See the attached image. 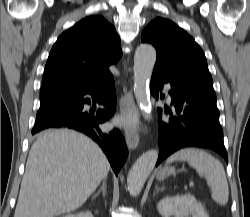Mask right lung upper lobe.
<instances>
[{
    "mask_svg": "<svg viewBox=\"0 0 250 217\" xmlns=\"http://www.w3.org/2000/svg\"><path fill=\"white\" fill-rule=\"evenodd\" d=\"M115 28L102 16H89L54 44L44 70L40 106L92 89L112 77L108 67L121 57Z\"/></svg>",
    "mask_w": 250,
    "mask_h": 217,
    "instance_id": "obj_1",
    "label": "right lung upper lobe"
}]
</instances>
